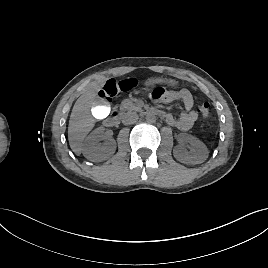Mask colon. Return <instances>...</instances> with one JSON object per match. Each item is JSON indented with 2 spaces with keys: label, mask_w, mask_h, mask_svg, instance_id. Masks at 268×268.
<instances>
[{
  "label": "colon",
  "mask_w": 268,
  "mask_h": 268,
  "mask_svg": "<svg viewBox=\"0 0 268 268\" xmlns=\"http://www.w3.org/2000/svg\"><path fill=\"white\" fill-rule=\"evenodd\" d=\"M137 82L135 79H126L121 81L109 80L105 83L102 90L100 91V97L106 100H111L119 92L128 91L136 86ZM209 103L203 102L199 106L198 113L204 120L209 115Z\"/></svg>",
  "instance_id": "5ec220e1"
}]
</instances>
